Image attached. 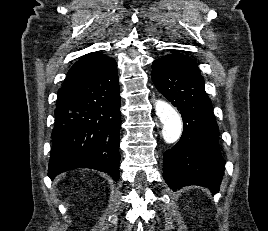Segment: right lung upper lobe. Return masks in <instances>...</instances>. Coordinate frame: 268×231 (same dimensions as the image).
<instances>
[{"label":"right lung upper lobe","mask_w":268,"mask_h":231,"mask_svg":"<svg viewBox=\"0 0 268 231\" xmlns=\"http://www.w3.org/2000/svg\"><path fill=\"white\" fill-rule=\"evenodd\" d=\"M111 59L108 56L96 52L83 56L68 71L65 83L59 89L58 94L63 96L72 85L93 75Z\"/></svg>","instance_id":"cb5924a9"}]
</instances>
